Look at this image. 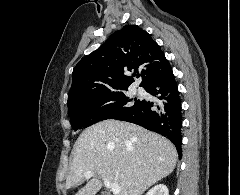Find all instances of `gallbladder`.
<instances>
[{
  "mask_svg": "<svg viewBox=\"0 0 240 195\" xmlns=\"http://www.w3.org/2000/svg\"><path fill=\"white\" fill-rule=\"evenodd\" d=\"M103 195H113V192H110V190H103Z\"/></svg>",
  "mask_w": 240,
  "mask_h": 195,
  "instance_id": "bac80fb5",
  "label": "gallbladder"
}]
</instances>
